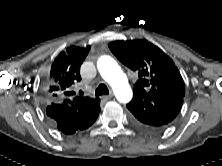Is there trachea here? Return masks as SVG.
<instances>
[{"label": "trachea", "instance_id": "1", "mask_svg": "<svg viewBox=\"0 0 222 166\" xmlns=\"http://www.w3.org/2000/svg\"><path fill=\"white\" fill-rule=\"evenodd\" d=\"M80 94H83V92H79ZM109 94V90L107 88V86L105 84H100L95 91V95L99 96V95H108Z\"/></svg>", "mask_w": 222, "mask_h": 166}]
</instances>
